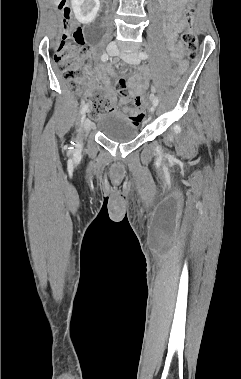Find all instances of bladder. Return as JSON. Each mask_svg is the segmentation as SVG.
I'll list each match as a JSON object with an SVG mask.
<instances>
[{
	"label": "bladder",
	"instance_id": "obj_1",
	"mask_svg": "<svg viewBox=\"0 0 241 379\" xmlns=\"http://www.w3.org/2000/svg\"><path fill=\"white\" fill-rule=\"evenodd\" d=\"M98 129L104 137L117 143L130 142L139 133L137 123L116 112L100 116Z\"/></svg>",
	"mask_w": 241,
	"mask_h": 379
}]
</instances>
